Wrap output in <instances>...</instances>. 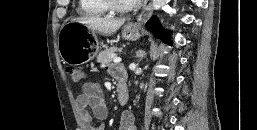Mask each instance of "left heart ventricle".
Instances as JSON below:
<instances>
[{"label":"left heart ventricle","instance_id":"b2bd125f","mask_svg":"<svg viewBox=\"0 0 257 130\" xmlns=\"http://www.w3.org/2000/svg\"><path fill=\"white\" fill-rule=\"evenodd\" d=\"M117 2L121 5L127 6L136 2V0H117Z\"/></svg>","mask_w":257,"mask_h":130}]
</instances>
